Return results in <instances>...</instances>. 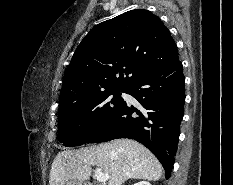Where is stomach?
Returning <instances> with one entry per match:
<instances>
[{
	"mask_svg": "<svg viewBox=\"0 0 233 185\" xmlns=\"http://www.w3.org/2000/svg\"><path fill=\"white\" fill-rule=\"evenodd\" d=\"M65 185H87L85 182H80L78 180H69Z\"/></svg>",
	"mask_w": 233,
	"mask_h": 185,
	"instance_id": "0dacf381",
	"label": "stomach"
}]
</instances>
